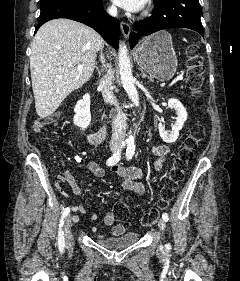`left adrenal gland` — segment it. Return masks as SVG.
<instances>
[{
    "label": "left adrenal gland",
    "instance_id": "obj_1",
    "mask_svg": "<svg viewBox=\"0 0 240 281\" xmlns=\"http://www.w3.org/2000/svg\"><path fill=\"white\" fill-rule=\"evenodd\" d=\"M142 73V78H147L149 81L153 82V79L149 76H147L142 70H140Z\"/></svg>",
    "mask_w": 240,
    "mask_h": 281
}]
</instances>
